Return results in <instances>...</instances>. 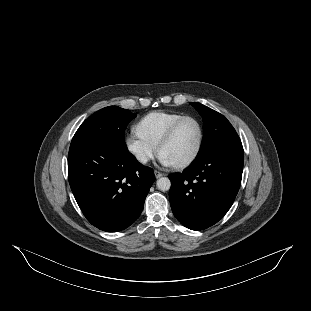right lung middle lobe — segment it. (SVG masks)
Segmentation results:
<instances>
[{"instance_id": "1", "label": "right lung middle lobe", "mask_w": 311, "mask_h": 311, "mask_svg": "<svg viewBox=\"0 0 311 311\" xmlns=\"http://www.w3.org/2000/svg\"><path fill=\"white\" fill-rule=\"evenodd\" d=\"M135 117L136 114L117 106L100 109L81 124L72 138L70 148L89 140H105L127 147L124 131Z\"/></svg>"}]
</instances>
